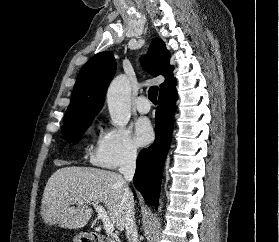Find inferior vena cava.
<instances>
[{
  "label": "inferior vena cava",
  "mask_w": 279,
  "mask_h": 242,
  "mask_svg": "<svg viewBox=\"0 0 279 242\" xmlns=\"http://www.w3.org/2000/svg\"><path fill=\"white\" fill-rule=\"evenodd\" d=\"M136 157L137 150L135 148H130L126 152L123 161L120 165L119 172L124 176V179L127 182H130L133 179L136 168ZM125 191L128 197L130 198V206L126 212V237L128 239V242H138V231L135 222L133 194L130 191L127 184L125 185Z\"/></svg>",
  "instance_id": "1"
}]
</instances>
